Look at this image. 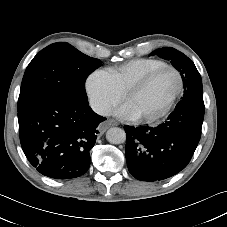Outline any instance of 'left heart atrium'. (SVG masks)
<instances>
[{
	"label": "left heart atrium",
	"instance_id": "left-heart-atrium-1",
	"mask_svg": "<svg viewBox=\"0 0 227 227\" xmlns=\"http://www.w3.org/2000/svg\"><path fill=\"white\" fill-rule=\"evenodd\" d=\"M116 115L127 120H133L137 117L125 104L116 111Z\"/></svg>",
	"mask_w": 227,
	"mask_h": 227
}]
</instances>
